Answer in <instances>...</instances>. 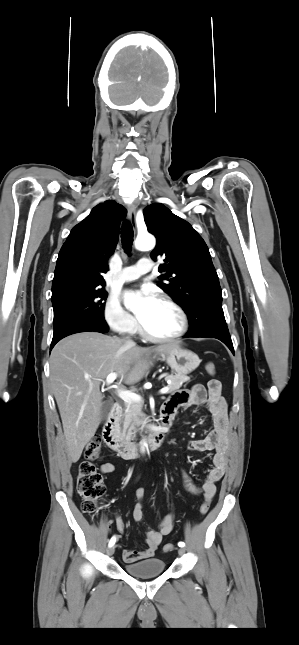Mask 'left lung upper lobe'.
<instances>
[{
    "mask_svg": "<svg viewBox=\"0 0 299 645\" xmlns=\"http://www.w3.org/2000/svg\"><path fill=\"white\" fill-rule=\"evenodd\" d=\"M148 231L157 238L151 258H164L158 286L187 314L190 333L202 332L212 310L222 306V292L208 247L193 227L160 203L143 210Z\"/></svg>",
    "mask_w": 299,
    "mask_h": 645,
    "instance_id": "1",
    "label": "left lung upper lobe"
}]
</instances>
